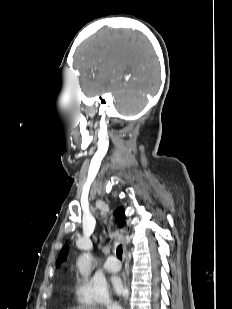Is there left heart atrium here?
Wrapping results in <instances>:
<instances>
[{"label":"left heart atrium","instance_id":"39dd6f15","mask_svg":"<svg viewBox=\"0 0 232 309\" xmlns=\"http://www.w3.org/2000/svg\"><path fill=\"white\" fill-rule=\"evenodd\" d=\"M113 288L115 292L119 295H125L126 289L121 279L118 277L113 278L112 280Z\"/></svg>","mask_w":232,"mask_h":309}]
</instances>
